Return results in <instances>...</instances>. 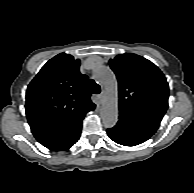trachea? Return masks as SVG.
Instances as JSON below:
<instances>
[{
    "label": "trachea",
    "mask_w": 194,
    "mask_h": 193,
    "mask_svg": "<svg viewBox=\"0 0 194 193\" xmlns=\"http://www.w3.org/2000/svg\"><path fill=\"white\" fill-rule=\"evenodd\" d=\"M89 88L93 94H99L101 92L100 86L94 80H90Z\"/></svg>",
    "instance_id": "3493384b"
}]
</instances>
